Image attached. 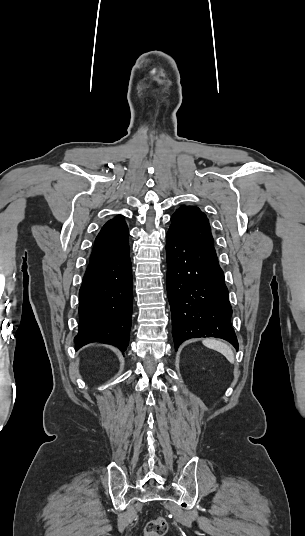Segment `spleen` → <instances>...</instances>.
<instances>
[{
    "label": "spleen",
    "instance_id": "3e777b00",
    "mask_svg": "<svg viewBox=\"0 0 305 536\" xmlns=\"http://www.w3.org/2000/svg\"><path fill=\"white\" fill-rule=\"evenodd\" d=\"M202 344H204L206 348H210V350L220 352V354H223L231 364H234V354L227 344H223V342H219V340H213V338H206V340H203Z\"/></svg>",
    "mask_w": 305,
    "mask_h": 536
}]
</instances>
